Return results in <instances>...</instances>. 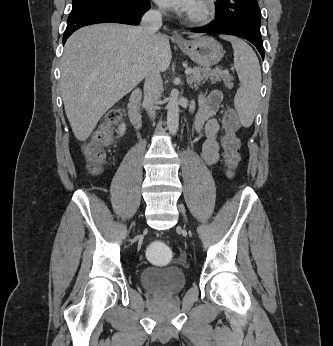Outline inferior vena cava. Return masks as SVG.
<instances>
[{
	"mask_svg": "<svg viewBox=\"0 0 333 346\" xmlns=\"http://www.w3.org/2000/svg\"><path fill=\"white\" fill-rule=\"evenodd\" d=\"M161 26L162 12L159 10H149L143 15L138 28L144 33L150 45L153 46L156 32ZM162 90L163 86L160 72L151 60L146 67L144 84V104L151 118L155 117V107Z\"/></svg>",
	"mask_w": 333,
	"mask_h": 346,
	"instance_id": "inferior-vena-cava-1",
	"label": "inferior vena cava"
}]
</instances>
